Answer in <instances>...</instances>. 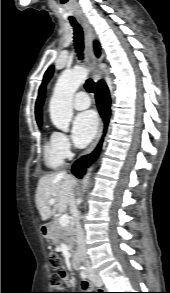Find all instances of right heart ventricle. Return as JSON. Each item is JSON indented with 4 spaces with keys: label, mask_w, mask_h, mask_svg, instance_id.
<instances>
[{
    "label": "right heart ventricle",
    "mask_w": 170,
    "mask_h": 293,
    "mask_svg": "<svg viewBox=\"0 0 170 293\" xmlns=\"http://www.w3.org/2000/svg\"><path fill=\"white\" fill-rule=\"evenodd\" d=\"M44 163L51 170L58 169L63 163V157L55 150L53 134L46 140L43 147Z\"/></svg>",
    "instance_id": "1"
}]
</instances>
